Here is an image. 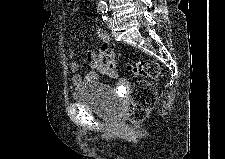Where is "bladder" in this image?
I'll list each match as a JSON object with an SVG mask.
<instances>
[{
	"instance_id": "obj_1",
	"label": "bladder",
	"mask_w": 225,
	"mask_h": 159,
	"mask_svg": "<svg viewBox=\"0 0 225 159\" xmlns=\"http://www.w3.org/2000/svg\"><path fill=\"white\" fill-rule=\"evenodd\" d=\"M74 101L90 109L99 117L115 120L121 114L120 97L112 88L101 82H88L77 87L72 94Z\"/></svg>"
}]
</instances>
